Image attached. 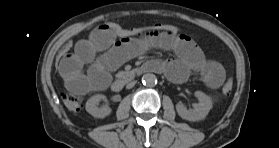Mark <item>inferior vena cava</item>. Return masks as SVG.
<instances>
[{
  "mask_svg": "<svg viewBox=\"0 0 279 148\" xmlns=\"http://www.w3.org/2000/svg\"><path fill=\"white\" fill-rule=\"evenodd\" d=\"M135 84H136V81H132V82L127 84L126 88L130 89V88L134 87Z\"/></svg>",
  "mask_w": 279,
  "mask_h": 148,
  "instance_id": "602c4592",
  "label": "inferior vena cava"
}]
</instances>
